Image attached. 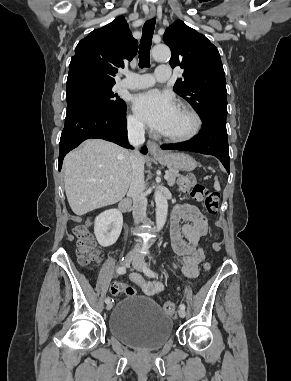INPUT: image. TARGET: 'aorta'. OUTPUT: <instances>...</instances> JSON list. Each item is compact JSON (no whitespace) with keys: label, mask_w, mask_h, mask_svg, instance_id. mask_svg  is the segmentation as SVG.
<instances>
[{"label":"aorta","mask_w":291,"mask_h":381,"mask_svg":"<svg viewBox=\"0 0 291 381\" xmlns=\"http://www.w3.org/2000/svg\"><path fill=\"white\" fill-rule=\"evenodd\" d=\"M152 57L156 61H167L171 57V52L169 47L166 45H156L152 49ZM156 203V229L160 231L166 221L168 213V202L165 196L160 192L156 191L154 194Z\"/></svg>","instance_id":"aorta-1"}]
</instances>
